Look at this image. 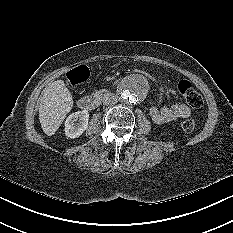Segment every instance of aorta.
<instances>
[{"instance_id": "obj_1", "label": "aorta", "mask_w": 233, "mask_h": 233, "mask_svg": "<svg viewBox=\"0 0 233 233\" xmlns=\"http://www.w3.org/2000/svg\"><path fill=\"white\" fill-rule=\"evenodd\" d=\"M147 88L145 80L140 76L125 79L119 87V96L125 104H136L144 99Z\"/></svg>"}]
</instances>
